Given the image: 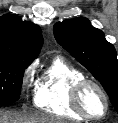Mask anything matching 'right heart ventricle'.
I'll list each match as a JSON object with an SVG mask.
<instances>
[{
	"instance_id": "1",
	"label": "right heart ventricle",
	"mask_w": 118,
	"mask_h": 123,
	"mask_svg": "<svg viewBox=\"0 0 118 123\" xmlns=\"http://www.w3.org/2000/svg\"><path fill=\"white\" fill-rule=\"evenodd\" d=\"M85 79V75L76 67L61 58H55L39 74L33 102L38 109L54 116L85 120L71 104L73 85Z\"/></svg>"
}]
</instances>
